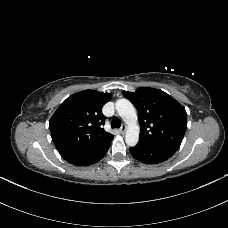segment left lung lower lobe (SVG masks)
<instances>
[{
  "label": "left lung lower lobe",
  "mask_w": 228,
  "mask_h": 228,
  "mask_svg": "<svg viewBox=\"0 0 228 228\" xmlns=\"http://www.w3.org/2000/svg\"><path fill=\"white\" fill-rule=\"evenodd\" d=\"M132 156L146 164H158L169 159L176 151L156 146H146L137 144L130 148Z\"/></svg>",
  "instance_id": "obj_1"
}]
</instances>
